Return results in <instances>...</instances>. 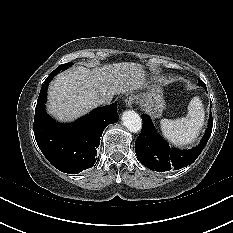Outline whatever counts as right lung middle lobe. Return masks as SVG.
<instances>
[{"label":"right lung middle lobe","instance_id":"right-lung-middle-lobe-1","mask_svg":"<svg viewBox=\"0 0 233 233\" xmlns=\"http://www.w3.org/2000/svg\"><path fill=\"white\" fill-rule=\"evenodd\" d=\"M72 65V62H69V63H65V64H61L60 66H58L54 72L55 74H57L58 72H60L61 70H66L69 66Z\"/></svg>","mask_w":233,"mask_h":233}]
</instances>
